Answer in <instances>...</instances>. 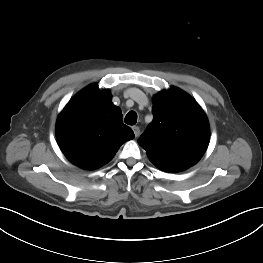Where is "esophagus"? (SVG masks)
Returning <instances> with one entry per match:
<instances>
[{
  "label": "esophagus",
  "mask_w": 263,
  "mask_h": 263,
  "mask_svg": "<svg viewBox=\"0 0 263 263\" xmlns=\"http://www.w3.org/2000/svg\"><path fill=\"white\" fill-rule=\"evenodd\" d=\"M133 132L135 134V137H138L140 135V129L138 126H134L133 128Z\"/></svg>",
  "instance_id": "1"
}]
</instances>
